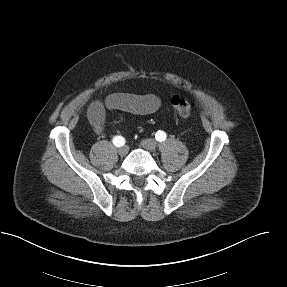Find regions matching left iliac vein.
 <instances>
[{
  "instance_id": "left-iliac-vein-1",
  "label": "left iliac vein",
  "mask_w": 287,
  "mask_h": 287,
  "mask_svg": "<svg viewBox=\"0 0 287 287\" xmlns=\"http://www.w3.org/2000/svg\"><path fill=\"white\" fill-rule=\"evenodd\" d=\"M141 146L150 152H154L157 148V142L155 139L148 138L141 141Z\"/></svg>"
}]
</instances>
